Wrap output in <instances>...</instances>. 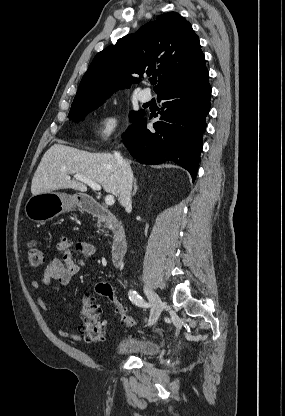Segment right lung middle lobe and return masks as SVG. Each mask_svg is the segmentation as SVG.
Returning <instances> with one entry per match:
<instances>
[{
	"mask_svg": "<svg viewBox=\"0 0 285 416\" xmlns=\"http://www.w3.org/2000/svg\"><path fill=\"white\" fill-rule=\"evenodd\" d=\"M103 100H101V101H97V102H94V103H91L90 105H88V106H85V107H82V108H77V109H73V110H70V112H69V117L73 120V121H75V122H78V121H81V120H83L84 118H85V116L90 112V111H93L94 109H96L99 105H101V102H102ZM144 114H145V111L144 110H140V111H133V112H131L130 113V119H131V121L134 123V122H136L137 120H139L141 117H143L144 116Z\"/></svg>",
	"mask_w": 285,
	"mask_h": 416,
	"instance_id": "obj_1",
	"label": "right lung middle lobe"
}]
</instances>
